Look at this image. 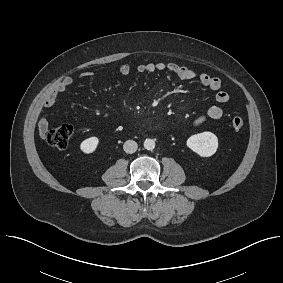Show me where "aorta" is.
Returning a JSON list of instances; mask_svg holds the SVG:
<instances>
[{"label":"aorta","mask_w":283,"mask_h":283,"mask_svg":"<svg viewBox=\"0 0 283 283\" xmlns=\"http://www.w3.org/2000/svg\"><path fill=\"white\" fill-rule=\"evenodd\" d=\"M144 148L146 150H153L155 148V141L153 139H146L144 141Z\"/></svg>","instance_id":"aorta-1"}]
</instances>
